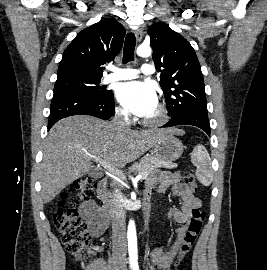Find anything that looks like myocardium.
Returning <instances> with one entry per match:
<instances>
[{
    "label": "myocardium",
    "instance_id": "1",
    "mask_svg": "<svg viewBox=\"0 0 267 270\" xmlns=\"http://www.w3.org/2000/svg\"><path fill=\"white\" fill-rule=\"evenodd\" d=\"M169 119V114L164 104H159L156 108V113L152 117H147L143 120V124L150 127H159L164 125Z\"/></svg>",
    "mask_w": 267,
    "mask_h": 270
}]
</instances>
